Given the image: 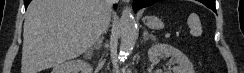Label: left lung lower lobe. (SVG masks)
Returning <instances> with one entry per match:
<instances>
[{
    "label": "left lung lower lobe",
    "mask_w": 244,
    "mask_h": 73,
    "mask_svg": "<svg viewBox=\"0 0 244 73\" xmlns=\"http://www.w3.org/2000/svg\"><path fill=\"white\" fill-rule=\"evenodd\" d=\"M159 0H134L133 2V9L134 11L139 10L141 8L150 6ZM201 3L205 4L207 7L212 9L214 12H216L215 8V0H199Z\"/></svg>",
    "instance_id": "0a47b994"
}]
</instances>
